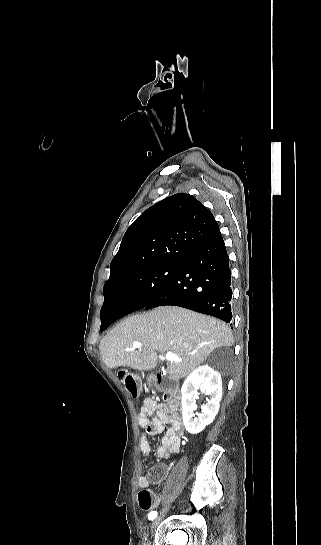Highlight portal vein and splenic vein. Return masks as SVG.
Wrapping results in <instances>:
<instances>
[{"label":"portal vein and splenic vein","instance_id":"18ae733b","mask_svg":"<svg viewBox=\"0 0 321 545\" xmlns=\"http://www.w3.org/2000/svg\"><path fill=\"white\" fill-rule=\"evenodd\" d=\"M133 349H126V351H135V349H140L142 347V343H139V341H134L132 343ZM160 361H170V363H181L183 359H180V357H177V355H174V353H166L165 357L163 355H159Z\"/></svg>","mask_w":321,"mask_h":545}]
</instances>
